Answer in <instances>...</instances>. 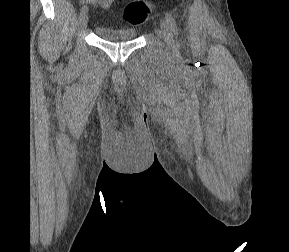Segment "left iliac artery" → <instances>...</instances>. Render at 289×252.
<instances>
[{"label": "left iliac artery", "mask_w": 289, "mask_h": 252, "mask_svg": "<svg viewBox=\"0 0 289 252\" xmlns=\"http://www.w3.org/2000/svg\"><path fill=\"white\" fill-rule=\"evenodd\" d=\"M165 17H166V20H167L171 30L173 31L174 35L176 36V38H178L179 30H178L177 23H176L174 17L169 13H165Z\"/></svg>", "instance_id": "left-iliac-artery-1"}]
</instances>
